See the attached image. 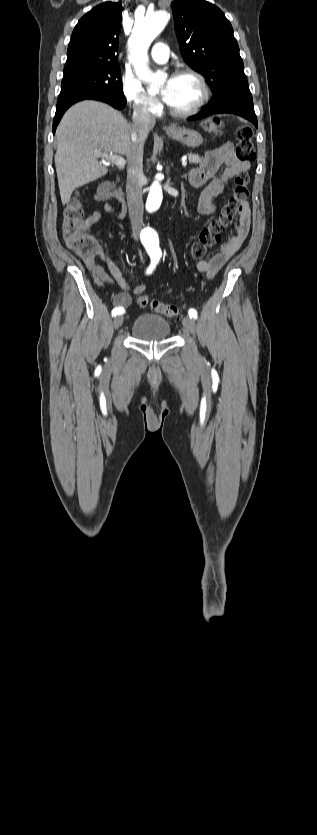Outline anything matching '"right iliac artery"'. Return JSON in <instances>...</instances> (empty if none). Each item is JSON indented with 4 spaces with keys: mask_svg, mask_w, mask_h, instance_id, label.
I'll list each match as a JSON object with an SVG mask.
<instances>
[{
    "mask_svg": "<svg viewBox=\"0 0 317 835\" xmlns=\"http://www.w3.org/2000/svg\"><path fill=\"white\" fill-rule=\"evenodd\" d=\"M158 261H159V259H158V258H151V263H150V266H149V267L147 268V270H146V273H147V274H151V273L153 272V270L155 269V267H156V265H157ZM123 313H124V310H123L122 308H119V307H115V308L112 310V315H113V316L120 315V314H123Z\"/></svg>",
    "mask_w": 317,
    "mask_h": 835,
    "instance_id": "1",
    "label": "right iliac artery"
}]
</instances>
